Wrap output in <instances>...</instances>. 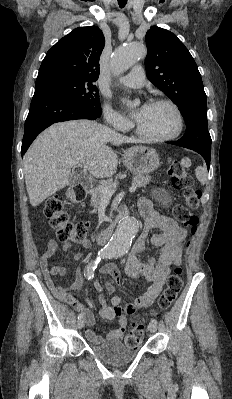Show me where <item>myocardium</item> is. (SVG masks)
Listing matches in <instances>:
<instances>
[{
	"label": "myocardium",
	"instance_id": "1",
	"mask_svg": "<svg viewBox=\"0 0 232 399\" xmlns=\"http://www.w3.org/2000/svg\"><path fill=\"white\" fill-rule=\"evenodd\" d=\"M153 105H168V106L172 107V109L175 111L176 117H177L176 130L172 134L167 135V136L151 137V136L143 133L135 121L132 123L135 134L141 140L149 142V143H164V142H168V141L176 139L182 133V131L184 129V117H183V113H182L180 107L177 104H175L174 102H172L170 100H165V99H151L147 103V106H153Z\"/></svg>",
	"mask_w": 232,
	"mask_h": 399
}]
</instances>
